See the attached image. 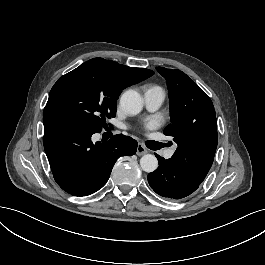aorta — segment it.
Listing matches in <instances>:
<instances>
[{
    "label": "aorta",
    "mask_w": 265,
    "mask_h": 265,
    "mask_svg": "<svg viewBox=\"0 0 265 265\" xmlns=\"http://www.w3.org/2000/svg\"><path fill=\"white\" fill-rule=\"evenodd\" d=\"M120 106L130 115H137L142 111L143 101L140 94L135 90H127L120 99ZM143 171L151 173L158 167V160L152 154H145L140 159Z\"/></svg>",
    "instance_id": "1"
}]
</instances>
